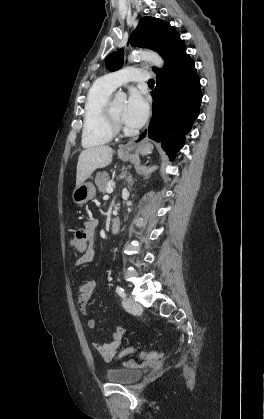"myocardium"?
I'll list each match as a JSON object with an SVG mask.
<instances>
[{"label":"myocardium","instance_id":"f54148a6","mask_svg":"<svg viewBox=\"0 0 264 419\" xmlns=\"http://www.w3.org/2000/svg\"><path fill=\"white\" fill-rule=\"evenodd\" d=\"M106 112H107V116H108V119H109V122H110V125L114 134L123 131L124 129L123 121L119 116H117L114 113L112 109V103L110 101H108L107 103Z\"/></svg>","mask_w":264,"mask_h":419}]
</instances>
